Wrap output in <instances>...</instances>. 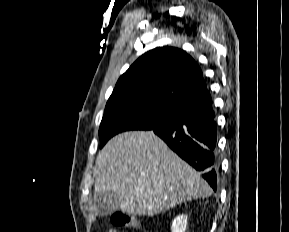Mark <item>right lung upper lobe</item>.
Listing matches in <instances>:
<instances>
[{
  "label": "right lung upper lobe",
  "mask_w": 289,
  "mask_h": 232,
  "mask_svg": "<svg viewBox=\"0 0 289 232\" xmlns=\"http://www.w3.org/2000/svg\"><path fill=\"white\" fill-rule=\"evenodd\" d=\"M115 97H142L180 110L212 101L199 65L174 47L138 58L117 81L110 98Z\"/></svg>",
  "instance_id": "obj_1"
}]
</instances>
